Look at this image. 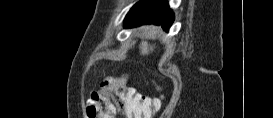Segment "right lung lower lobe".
Instances as JSON below:
<instances>
[{
  "instance_id": "1",
  "label": "right lung lower lobe",
  "mask_w": 273,
  "mask_h": 118,
  "mask_svg": "<svg viewBox=\"0 0 273 118\" xmlns=\"http://www.w3.org/2000/svg\"><path fill=\"white\" fill-rule=\"evenodd\" d=\"M174 21V14L166 0H140L126 15L125 27L142 24L161 25L168 31Z\"/></svg>"
}]
</instances>
